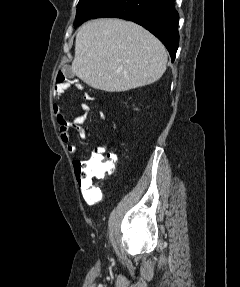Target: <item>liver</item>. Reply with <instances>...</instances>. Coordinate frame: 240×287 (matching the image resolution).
<instances>
[{
  "label": "liver",
  "instance_id": "6515ba94",
  "mask_svg": "<svg viewBox=\"0 0 240 287\" xmlns=\"http://www.w3.org/2000/svg\"><path fill=\"white\" fill-rule=\"evenodd\" d=\"M164 45L138 24L108 18L77 33L72 72L94 89L122 92L152 84L166 70Z\"/></svg>",
  "mask_w": 240,
  "mask_h": 287
}]
</instances>
